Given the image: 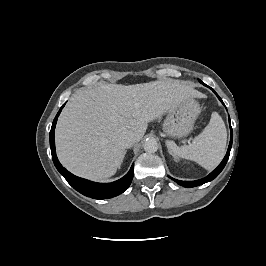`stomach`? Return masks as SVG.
Instances as JSON below:
<instances>
[{
	"instance_id": "0dacf381",
	"label": "stomach",
	"mask_w": 266,
	"mask_h": 266,
	"mask_svg": "<svg viewBox=\"0 0 266 266\" xmlns=\"http://www.w3.org/2000/svg\"><path fill=\"white\" fill-rule=\"evenodd\" d=\"M199 113V103L193 98L186 99L168 112L162 129L171 138L185 137L193 130Z\"/></svg>"
}]
</instances>
